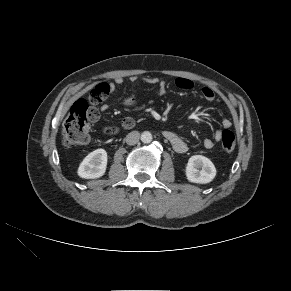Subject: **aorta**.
Masks as SVG:
<instances>
[{
  "mask_svg": "<svg viewBox=\"0 0 291 291\" xmlns=\"http://www.w3.org/2000/svg\"><path fill=\"white\" fill-rule=\"evenodd\" d=\"M141 141L143 143H150L152 141V134L149 131H145L141 134Z\"/></svg>",
  "mask_w": 291,
  "mask_h": 291,
  "instance_id": "aorta-1",
  "label": "aorta"
}]
</instances>
